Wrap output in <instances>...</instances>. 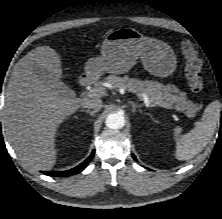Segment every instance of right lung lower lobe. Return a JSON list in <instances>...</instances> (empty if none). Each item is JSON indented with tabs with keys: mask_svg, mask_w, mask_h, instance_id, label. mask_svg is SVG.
Instances as JSON below:
<instances>
[{
	"mask_svg": "<svg viewBox=\"0 0 222 219\" xmlns=\"http://www.w3.org/2000/svg\"><path fill=\"white\" fill-rule=\"evenodd\" d=\"M94 153L95 152L92 151L91 155L84 162H82L80 165H78L77 167L72 168L70 170H67V171H43L42 173H44L45 175H48V176H57V177L74 175V174L82 171L87 166V164L90 162V160L94 156Z\"/></svg>",
	"mask_w": 222,
	"mask_h": 219,
	"instance_id": "1",
	"label": "right lung lower lobe"
}]
</instances>
